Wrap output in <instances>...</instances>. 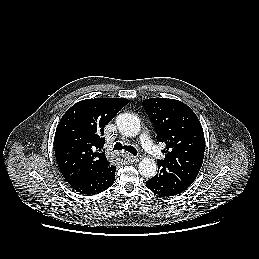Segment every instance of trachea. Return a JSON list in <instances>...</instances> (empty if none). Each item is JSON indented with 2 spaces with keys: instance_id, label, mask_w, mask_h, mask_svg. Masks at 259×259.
<instances>
[{
  "instance_id": "obj_1",
  "label": "trachea",
  "mask_w": 259,
  "mask_h": 259,
  "mask_svg": "<svg viewBox=\"0 0 259 259\" xmlns=\"http://www.w3.org/2000/svg\"><path fill=\"white\" fill-rule=\"evenodd\" d=\"M124 149L125 151L130 152L133 155H137V151L134 147L132 146H128V145H122L121 143L117 142L114 147H113V151L114 150H122Z\"/></svg>"
}]
</instances>
